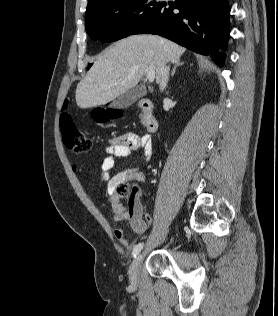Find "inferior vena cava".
<instances>
[{
  "instance_id": "inferior-vena-cava-1",
  "label": "inferior vena cava",
  "mask_w": 278,
  "mask_h": 316,
  "mask_svg": "<svg viewBox=\"0 0 278 316\" xmlns=\"http://www.w3.org/2000/svg\"><path fill=\"white\" fill-rule=\"evenodd\" d=\"M169 66H165L162 69V74H161V80H160V89L164 90V88L167 86V82L169 80Z\"/></svg>"
}]
</instances>
